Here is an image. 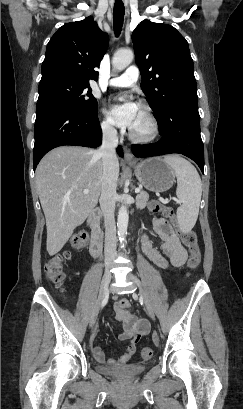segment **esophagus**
I'll list each match as a JSON object with an SVG mask.
<instances>
[{"instance_id":"1","label":"esophagus","mask_w":243,"mask_h":409,"mask_svg":"<svg viewBox=\"0 0 243 409\" xmlns=\"http://www.w3.org/2000/svg\"><path fill=\"white\" fill-rule=\"evenodd\" d=\"M124 160L126 162H128V163H134L135 162V158L133 156V153L127 147H124Z\"/></svg>"}]
</instances>
